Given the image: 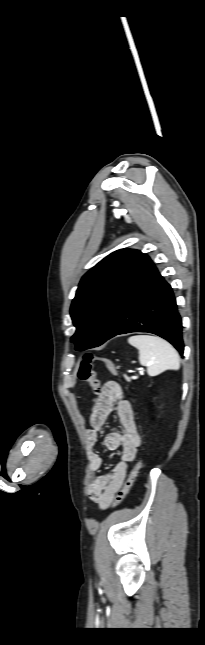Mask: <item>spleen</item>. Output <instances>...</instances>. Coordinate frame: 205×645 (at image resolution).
<instances>
[{
	"instance_id": "3e777b00",
	"label": "spleen",
	"mask_w": 205,
	"mask_h": 645,
	"mask_svg": "<svg viewBox=\"0 0 205 645\" xmlns=\"http://www.w3.org/2000/svg\"><path fill=\"white\" fill-rule=\"evenodd\" d=\"M130 345L139 350V361L147 366V373L154 377L166 370H178L180 358L177 351L157 336L136 335L128 339Z\"/></svg>"
}]
</instances>
